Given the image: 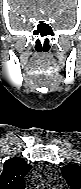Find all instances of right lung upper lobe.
<instances>
[{"label":"right lung upper lobe","instance_id":"1","mask_svg":"<svg viewBox=\"0 0 81 189\" xmlns=\"http://www.w3.org/2000/svg\"><path fill=\"white\" fill-rule=\"evenodd\" d=\"M30 169L31 165L20 157L6 160L0 175V189H24V176Z\"/></svg>","mask_w":81,"mask_h":189}]
</instances>
